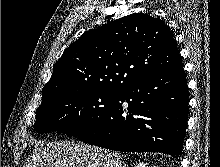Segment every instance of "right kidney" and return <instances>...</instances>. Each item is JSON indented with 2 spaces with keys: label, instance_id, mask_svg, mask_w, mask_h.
<instances>
[{
  "label": "right kidney",
  "instance_id": "obj_1",
  "mask_svg": "<svg viewBox=\"0 0 220 167\" xmlns=\"http://www.w3.org/2000/svg\"><path fill=\"white\" fill-rule=\"evenodd\" d=\"M134 167H148V166H147V164H145V163H139V164H137V165L134 166Z\"/></svg>",
  "mask_w": 220,
  "mask_h": 167
}]
</instances>
